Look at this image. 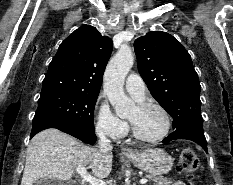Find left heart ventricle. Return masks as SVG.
Here are the masks:
<instances>
[{
  "label": "left heart ventricle",
  "instance_id": "b2bd125f",
  "mask_svg": "<svg viewBox=\"0 0 233 185\" xmlns=\"http://www.w3.org/2000/svg\"><path fill=\"white\" fill-rule=\"evenodd\" d=\"M137 132L147 138H153L161 134L165 128V118L162 112L156 108L134 107L128 116Z\"/></svg>",
  "mask_w": 233,
  "mask_h": 185
}]
</instances>
